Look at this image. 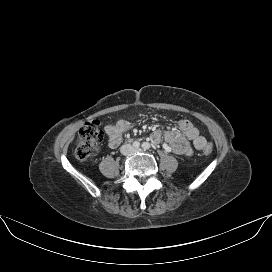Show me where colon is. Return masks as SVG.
<instances>
[{
    "label": "colon",
    "mask_w": 272,
    "mask_h": 272,
    "mask_svg": "<svg viewBox=\"0 0 272 272\" xmlns=\"http://www.w3.org/2000/svg\"><path fill=\"white\" fill-rule=\"evenodd\" d=\"M103 142V132L100 130L99 121L87 122L79 131L75 140V155L80 160H86L96 154ZM213 146L209 143L204 148L205 154H210Z\"/></svg>",
    "instance_id": "1"
}]
</instances>
